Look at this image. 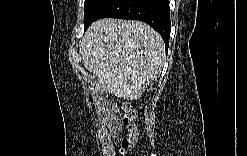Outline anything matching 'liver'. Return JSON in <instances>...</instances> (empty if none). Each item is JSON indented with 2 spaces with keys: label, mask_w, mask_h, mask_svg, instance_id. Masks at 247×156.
I'll return each mask as SVG.
<instances>
[{
  "label": "liver",
  "mask_w": 247,
  "mask_h": 156,
  "mask_svg": "<svg viewBox=\"0 0 247 156\" xmlns=\"http://www.w3.org/2000/svg\"><path fill=\"white\" fill-rule=\"evenodd\" d=\"M82 63L96 77L97 91L137 100L161 74V36L139 21L105 18L94 22L81 41Z\"/></svg>",
  "instance_id": "6515ba94"
}]
</instances>
